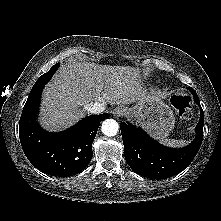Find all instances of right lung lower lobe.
<instances>
[{
  "mask_svg": "<svg viewBox=\"0 0 221 221\" xmlns=\"http://www.w3.org/2000/svg\"><path fill=\"white\" fill-rule=\"evenodd\" d=\"M45 84L31 89L19 122V137L28 160L52 176H71L83 170L92 158V143L104 113L88 116L60 133H49L36 122Z\"/></svg>",
  "mask_w": 221,
  "mask_h": 221,
  "instance_id": "98d812e1",
  "label": "right lung lower lobe"
}]
</instances>
